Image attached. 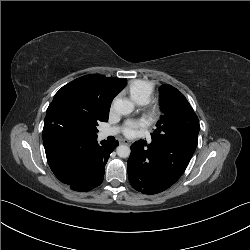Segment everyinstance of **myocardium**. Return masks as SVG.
<instances>
[{
    "label": "myocardium",
    "instance_id": "f54148a6",
    "mask_svg": "<svg viewBox=\"0 0 250 250\" xmlns=\"http://www.w3.org/2000/svg\"><path fill=\"white\" fill-rule=\"evenodd\" d=\"M151 112L154 114V115H157L160 113V106H159V103L156 102V101H153L151 103Z\"/></svg>",
    "mask_w": 250,
    "mask_h": 250
}]
</instances>
